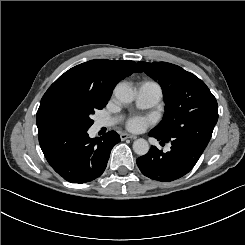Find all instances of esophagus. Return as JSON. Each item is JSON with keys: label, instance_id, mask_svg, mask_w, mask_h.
<instances>
[{"label": "esophagus", "instance_id": "34e87169", "mask_svg": "<svg viewBox=\"0 0 245 245\" xmlns=\"http://www.w3.org/2000/svg\"><path fill=\"white\" fill-rule=\"evenodd\" d=\"M120 138H121V140H126V139H129V138L135 139L136 136H134L132 134H128V133H122V134H120Z\"/></svg>", "mask_w": 245, "mask_h": 245}]
</instances>
